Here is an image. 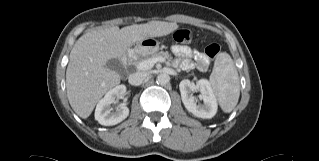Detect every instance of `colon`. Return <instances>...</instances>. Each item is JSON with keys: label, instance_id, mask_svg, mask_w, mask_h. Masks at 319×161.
I'll return each mask as SVG.
<instances>
[{"label": "colon", "instance_id": "colon-1", "mask_svg": "<svg viewBox=\"0 0 319 161\" xmlns=\"http://www.w3.org/2000/svg\"><path fill=\"white\" fill-rule=\"evenodd\" d=\"M174 40L178 43H190L193 40L194 33L191 29H178L174 35ZM220 52V46L217 43H210L205 46L204 54L210 59H214Z\"/></svg>", "mask_w": 319, "mask_h": 161}]
</instances>
